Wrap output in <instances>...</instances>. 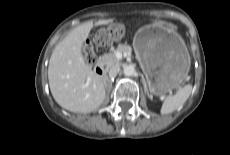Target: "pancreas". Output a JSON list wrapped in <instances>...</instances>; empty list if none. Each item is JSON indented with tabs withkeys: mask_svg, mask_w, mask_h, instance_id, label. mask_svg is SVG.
Masks as SVG:
<instances>
[{
	"mask_svg": "<svg viewBox=\"0 0 230 155\" xmlns=\"http://www.w3.org/2000/svg\"><path fill=\"white\" fill-rule=\"evenodd\" d=\"M122 52L130 54L132 49L128 45H119L116 49H112L111 52L102 55L99 58V62L105 66L106 69L111 68L112 66L119 65L120 61L116 58L115 52Z\"/></svg>",
	"mask_w": 230,
	"mask_h": 155,
	"instance_id": "cf45deb5",
	"label": "pancreas"
}]
</instances>
